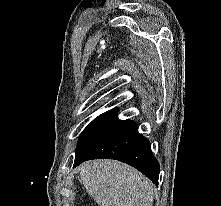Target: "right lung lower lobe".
I'll return each mask as SVG.
<instances>
[{
	"mask_svg": "<svg viewBox=\"0 0 221 206\" xmlns=\"http://www.w3.org/2000/svg\"><path fill=\"white\" fill-rule=\"evenodd\" d=\"M100 158L125 162L158 185L159 163L152 154L150 142L138 133L137 124L132 120H118L109 127L75 159L74 167Z\"/></svg>",
	"mask_w": 221,
	"mask_h": 206,
	"instance_id": "obj_1",
	"label": "right lung lower lobe"
}]
</instances>
